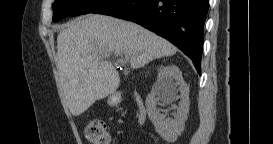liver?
Returning <instances> with one entry per match:
<instances>
[{
	"label": "liver",
	"instance_id": "6515ba94",
	"mask_svg": "<svg viewBox=\"0 0 273 144\" xmlns=\"http://www.w3.org/2000/svg\"><path fill=\"white\" fill-rule=\"evenodd\" d=\"M176 51L142 26L106 15L90 14L66 24L57 37L56 64L70 112L79 116L116 91L119 73L107 60L112 53H128L131 67L137 69Z\"/></svg>",
	"mask_w": 273,
	"mask_h": 144
}]
</instances>
